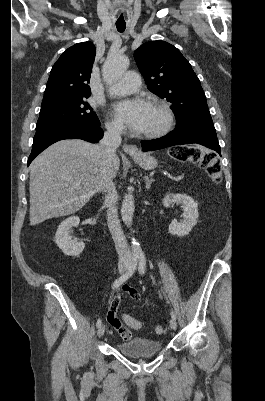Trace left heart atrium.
Wrapping results in <instances>:
<instances>
[{
	"label": "left heart atrium",
	"instance_id": "1",
	"mask_svg": "<svg viewBox=\"0 0 265 401\" xmlns=\"http://www.w3.org/2000/svg\"><path fill=\"white\" fill-rule=\"evenodd\" d=\"M150 105L139 98L125 99L114 103L111 113L115 119L132 129L141 130L145 124Z\"/></svg>",
	"mask_w": 265,
	"mask_h": 401
}]
</instances>
